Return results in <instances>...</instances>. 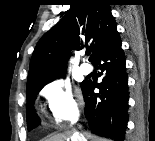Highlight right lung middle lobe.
<instances>
[{"mask_svg": "<svg viewBox=\"0 0 155 141\" xmlns=\"http://www.w3.org/2000/svg\"><path fill=\"white\" fill-rule=\"evenodd\" d=\"M60 76H62V74L47 78V79H45L41 82H38V83L27 88V115H26V119H27V129L29 131L39 125V119L37 118V116L35 114L34 107H33L34 100H35L36 96L38 95L39 91L47 83L59 78ZM84 82L81 83V86L84 84Z\"/></svg>", "mask_w": 155, "mask_h": 141, "instance_id": "obj_1", "label": "right lung middle lobe"}]
</instances>
